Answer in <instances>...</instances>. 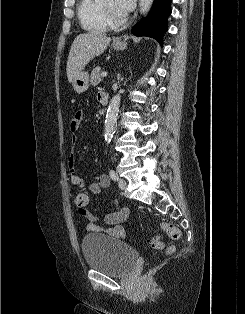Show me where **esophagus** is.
Here are the masks:
<instances>
[{
	"instance_id": "obj_1",
	"label": "esophagus",
	"mask_w": 245,
	"mask_h": 314,
	"mask_svg": "<svg viewBox=\"0 0 245 314\" xmlns=\"http://www.w3.org/2000/svg\"><path fill=\"white\" fill-rule=\"evenodd\" d=\"M115 42H116V43H119L120 41H119V40H115Z\"/></svg>"
}]
</instances>
